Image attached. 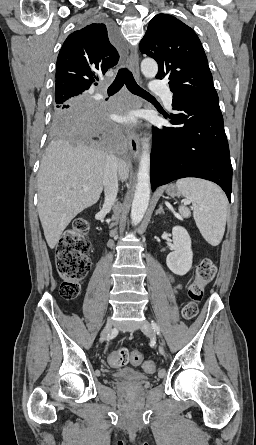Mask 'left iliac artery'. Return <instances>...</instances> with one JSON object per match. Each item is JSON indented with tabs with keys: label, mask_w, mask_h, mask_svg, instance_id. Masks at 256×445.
<instances>
[{
	"label": "left iliac artery",
	"mask_w": 256,
	"mask_h": 445,
	"mask_svg": "<svg viewBox=\"0 0 256 445\" xmlns=\"http://www.w3.org/2000/svg\"><path fill=\"white\" fill-rule=\"evenodd\" d=\"M151 322H152V326H153L154 330L157 332L158 335L161 336L159 326L154 321H151Z\"/></svg>",
	"instance_id": "44dca946"
}]
</instances>
